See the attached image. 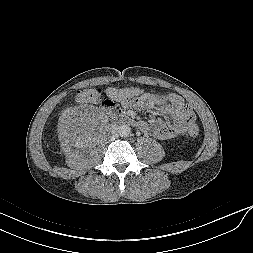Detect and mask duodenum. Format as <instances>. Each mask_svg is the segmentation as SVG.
<instances>
[{
	"mask_svg": "<svg viewBox=\"0 0 253 253\" xmlns=\"http://www.w3.org/2000/svg\"><path fill=\"white\" fill-rule=\"evenodd\" d=\"M111 115L115 120L119 121L120 123L139 126V123H137L133 118L124 113L111 112Z\"/></svg>",
	"mask_w": 253,
	"mask_h": 253,
	"instance_id": "1",
	"label": "duodenum"
}]
</instances>
